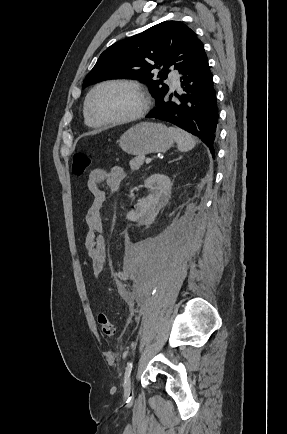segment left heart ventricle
Masks as SVG:
<instances>
[{"label": "left heart ventricle", "instance_id": "b2bd125f", "mask_svg": "<svg viewBox=\"0 0 287 434\" xmlns=\"http://www.w3.org/2000/svg\"><path fill=\"white\" fill-rule=\"evenodd\" d=\"M140 95L131 88L107 85L98 89L91 99V111L98 119H120L134 114L141 106Z\"/></svg>", "mask_w": 287, "mask_h": 434}]
</instances>
